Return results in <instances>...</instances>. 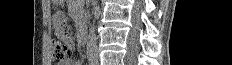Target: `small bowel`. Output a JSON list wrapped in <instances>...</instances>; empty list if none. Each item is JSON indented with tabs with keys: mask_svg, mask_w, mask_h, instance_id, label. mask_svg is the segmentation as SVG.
I'll return each mask as SVG.
<instances>
[{
	"mask_svg": "<svg viewBox=\"0 0 232 65\" xmlns=\"http://www.w3.org/2000/svg\"><path fill=\"white\" fill-rule=\"evenodd\" d=\"M55 30L57 31L58 37H74V32H68L71 27L68 26L69 21L65 16L64 12H54ZM63 65H74L71 61L66 62Z\"/></svg>",
	"mask_w": 232,
	"mask_h": 65,
	"instance_id": "small-bowel-1",
	"label": "small bowel"
}]
</instances>
